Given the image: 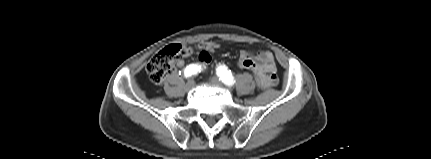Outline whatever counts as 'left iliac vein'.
<instances>
[{
  "instance_id": "obj_1",
  "label": "left iliac vein",
  "mask_w": 431,
  "mask_h": 159,
  "mask_svg": "<svg viewBox=\"0 0 431 159\" xmlns=\"http://www.w3.org/2000/svg\"><path fill=\"white\" fill-rule=\"evenodd\" d=\"M210 83L213 85H216V86H222L223 85L222 81L218 77H212L210 79Z\"/></svg>"
}]
</instances>
